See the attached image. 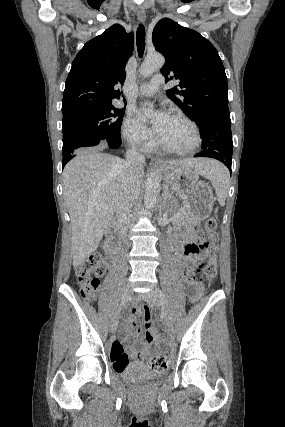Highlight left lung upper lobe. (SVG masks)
Wrapping results in <instances>:
<instances>
[{"instance_id": "1", "label": "left lung upper lobe", "mask_w": 285, "mask_h": 427, "mask_svg": "<svg viewBox=\"0 0 285 427\" xmlns=\"http://www.w3.org/2000/svg\"><path fill=\"white\" fill-rule=\"evenodd\" d=\"M155 49L165 56L161 73L180 83L166 91L183 112L198 123L207 117L230 119L227 77L215 47L201 34L169 18L153 30Z\"/></svg>"}]
</instances>
